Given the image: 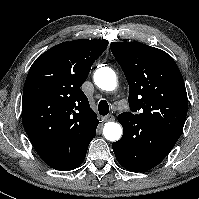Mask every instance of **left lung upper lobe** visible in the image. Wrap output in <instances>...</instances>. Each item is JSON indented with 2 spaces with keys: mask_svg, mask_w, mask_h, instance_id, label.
I'll use <instances>...</instances> for the list:
<instances>
[{
  "mask_svg": "<svg viewBox=\"0 0 199 199\" xmlns=\"http://www.w3.org/2000/svg\"><path fill=\"white\" fill-rule=\"evenodd\" d=\"M110 49L121 65L129 84L132 112L118 117H133L177 138L188 110L182 74L166 52L137 42H112Z\"/></svg>",
  "mask_w": 199,
  "mask_h": 199,
  "instance_id": "left-lung-upper-lobe-1",
  "label": "left lung upper lobe"
}]
</instances>
